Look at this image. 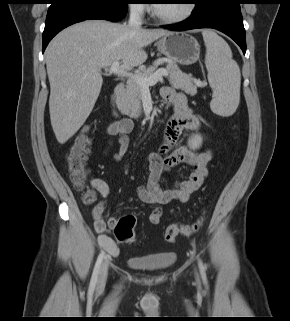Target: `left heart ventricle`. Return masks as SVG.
Here are the masks:
<instances>
[{
  "instance_id": "1",
  "label": "left heart ventricle",
  "mask_w": 290,
  "mask_h": 321,
  "mask_svg": "<svg viewBox=\"0 0 290 321\" xmlns=\"http://www.w3.org/2000/svg\"><path fill=\"white\" fill-rule=\"evenodd\" d=\"M185 0H160L158 4H155L157 12L166 17H173L180 15L186 9Z\"/></svg>"
}]
</instances>
